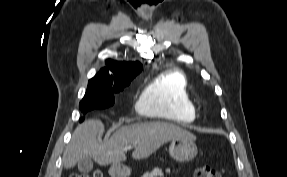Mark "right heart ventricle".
Wrapping results in <instances>:
<instances>
[{
  "instance_id": "1",
  "label": "right heart ventricle",
  "mask_w": 287,
  "mask_h": 177,
  "mask_svg": "<svg viewBox=\"0 0 287 177\" xmlns=\"http://www.w3.org/2000/svg\"><path fill=\"white\" fill-rule=\"evenodd\" d=\"M138 110L148 118L187 123L195 118L196 108L187 76L180 70L158 75L144 89Z\"/></svg>"
}]
</instances>
